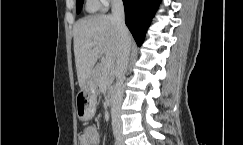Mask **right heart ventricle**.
I'll return each instance as SVG.
<instances>
[{"label":"right heart ventricle","instance_id":"obj_1","mask_svg":"<svg viewBox=\"0 0 243 145\" xmlns=\"http://www.w3.org/2000/svg\"><path fill=\"white\" fill-rule=\"evenodd\" d=\"M100 3L98 0H87L86 2V9L89 12H95L100 8Z\"/></svg>","mask_w":243,"mask_h":145}]
</instances>
